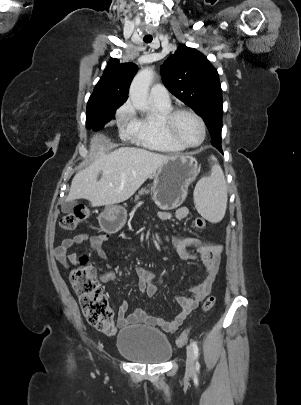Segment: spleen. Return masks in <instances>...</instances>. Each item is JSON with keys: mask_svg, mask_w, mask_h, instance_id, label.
<instances>
[{"mask_svg": "<svg viewBox=\"0 0 301 405\" xmlns=\"http://www.w3.org/2000/svg\"><path fill=\"white\" fill-rule=\"evenodd\" d=\"M216 161V158L212 156ZM196 205L203 217L211 222L223 219L227 207V187L221 167L216 164L209 177L202 178L194 191Z\"/></svg>", "mask_w": 301, "mask_h": 405, "instance_id": "3e777b00", "label": "spleen"}]
</instances>
